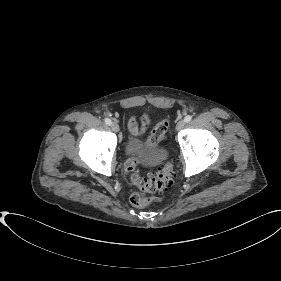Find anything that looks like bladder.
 Masks as SVG:
<instances>
[{"label":"bladder","instance_id":"1","mask_svg":"<svg viewBox=\"0 0 281 281\" xmlns=\"http://www.w3.org/2000/svg\"><path fill=\"white\" fill-rule=\"evenodd\" d=\"M125 153L129 158H136L139 161L159 163L166 156V151L161 148L153 149L139 136L132 135L125 144Z\"/></svg>","mask_w":281,"mask_h":281}]
</instances>
